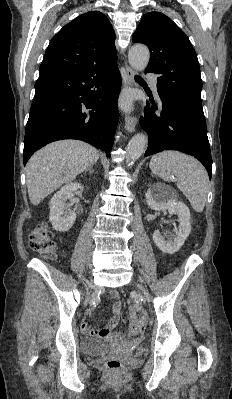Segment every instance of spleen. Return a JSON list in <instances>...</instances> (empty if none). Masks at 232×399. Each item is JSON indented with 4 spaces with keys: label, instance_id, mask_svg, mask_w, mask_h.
I'll return each mask as SVG.
<instances>
[{
    "label": "spleen",
    "instance_id": "spleen-1",
    "mask_svg": "<svg viewBox=\"0 0 232 399\" xmlns=\"http://www.w3.org/2000/svg\"><path fill=\"white\" fill-rule=\"evenodd\" d=\"M150 170L164 182L177 178V188L188 198L195 211H203L209 192L208 174L195 158L181 152H161L153 156Z\"/></svg>",
    "mask_w": 232,
    "mask_h": 399
}]
</instances>
